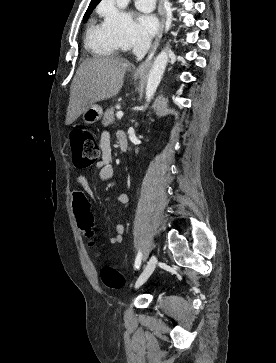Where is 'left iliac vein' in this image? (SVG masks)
Segmentation results:
<instances>
[{
    "label": "left iliac vein",
    "instance_id": "1",
    "mask_svg": "<svg viewBox=\"0 0 276 363\" xmlns=\"http://www.w3.org/2000/svg\"><path fill=\"white\" fill-rule=\"evenodd\" d=\"M156 263H157V258L155 255H152L147 263V266L145 267V269L143 270V272L140 274V276L136 281L135 284L136 288L140 287L149 278V276L152 274V272L155 269Z\"/></svg>",
    "mask_w": 276,
    "mask_h": 363
}]
</instances>
